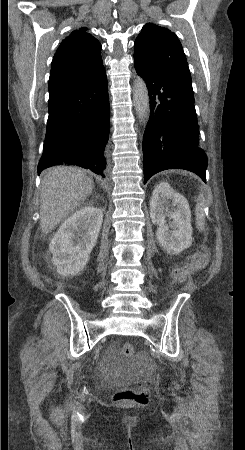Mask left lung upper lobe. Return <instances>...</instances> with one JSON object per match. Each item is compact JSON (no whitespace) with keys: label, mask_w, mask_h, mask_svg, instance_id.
<instances>
[{"label":"left lung upper lobe","mask_w":245,"mask_h":450,"mask_svg":"<svg viewBox=\"0 0 245 450\" xmlns=\"http://www.w3.org/2000/svg\"><path fill=\"white\" fill-rule=\"evenodd\" d=\"M135 67L163 75L194 101L191 75L178 37L170 30L148 23L135 40Z\"/></svg>","instance_id":"obj_1"}]
</instances>
